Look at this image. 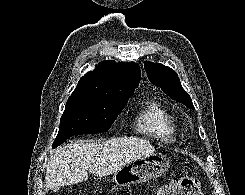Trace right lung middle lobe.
Here are the masks:
<instances>
[{"mask_svg":"<svg viewBox=\"0 0 245 195\" xmlns=\"http://www.w3.org/2000/svg\"><path fill=\"white\" fill-rule=\"evenodd\" d=\"M127 100H107L91 96H70L60 120L56 148L68 138L78 134L106 132Z\"/></svg>","mask_w":245,"mask_h":195,"instance_id":"1","label":"right lung middle lobe"}]
</instances>
